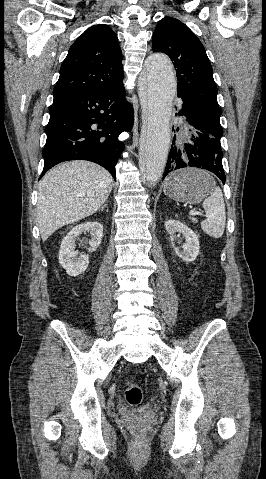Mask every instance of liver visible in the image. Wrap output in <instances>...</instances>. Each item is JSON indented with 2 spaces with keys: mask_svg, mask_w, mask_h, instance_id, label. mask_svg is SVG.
Returning <instances> with one entry per match:
<instances>
[{
  "mask_svg": "<svg viewBox=\"0 0 266 479\" xmlns=\"http://www.w3.org/2000/svg\"><path fill=\"white\" fill-rule=\"evenodd\" d=\"M113 178L89 161L62 163L39 183L37 223L46 241L59 228L94 214L107 201Z\"/></svg>",
  "mask_w": 266,
  "mask_h": 479,
  "instance_id": "liver-1",
  "label": "liver"
}]
</instances>
